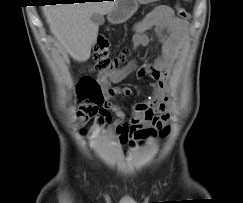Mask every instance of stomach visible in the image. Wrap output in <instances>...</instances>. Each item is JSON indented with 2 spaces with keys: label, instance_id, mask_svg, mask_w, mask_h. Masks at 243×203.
Listing matches in <instances>:
<instances>
[{
  "label": "stomach",
  "instance_id": "0dacf381",
  "mask_svg": "<svg viewBox=\"0 0 243 203\" xmlns=\"http://www.w3.org/2000/svg\"><path fill=\"white\" fill-rule=\"evenodd\" d=\"M159 0H116L114 8L108 13L111 24L126 22L137 11L140 4H149Z\"/></svg>",
  "mask_w": 243,
  "mask_h": 203
}]
</instances>
